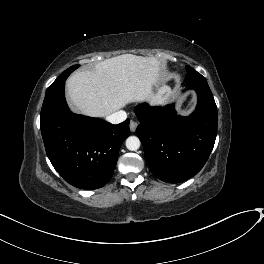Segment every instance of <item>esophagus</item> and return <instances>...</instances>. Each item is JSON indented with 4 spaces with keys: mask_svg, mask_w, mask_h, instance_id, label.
Segmentation results:
<instances>
[{
    "mask_svg": "<svg viewBox=\"0 0 264 264\" xmlns=\"http://www.w3.org/2000/svg\"><path fill=\"white\" fill-rule=\"evenodd\" d=\"M137 125L138 124H137L136 121H134V120L130 121V130H131V132H135Z\"/></svg>",
    "mask_w": 264,
    "mask_h": 264,
    "instance_id": "1",
    "label": "esophagus"
}]
</instances>
